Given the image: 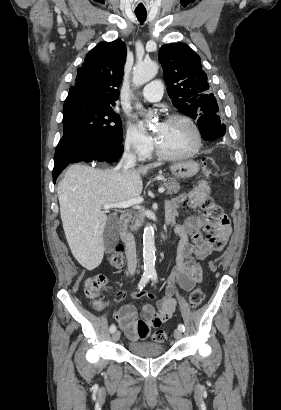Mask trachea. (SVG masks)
Listing matches in <instances>:
<instances>
[{
  "label": "trachea",
  "mask_w": 281,
  "mask_h": 410,
  "mask_svg": "<svg viewBox=\"0 0 281 410\" xmlns=\"http://www.w3.org/2000/svg\"><path fill=\"white\" fill-rule=\"evenodd\" d=\"M135 15L139 22L143 23L146 20L147 13L146 12H135Z\"/></svg>",
  "instance_id": "1"
}]
</instances>
